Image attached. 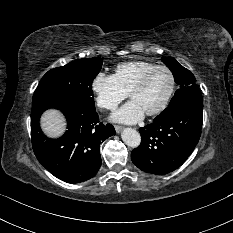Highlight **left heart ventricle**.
<instances>
[{
    "instance_id": "b2bd125f",
    "label": "left heart ventricle",
    "mask_w": 233,
    "mask_h": 233,
    "mask_svg": "<svg viewBox=\"0 0 233 233\" xmlns=\"http://www.w3.org/2000/svg\"><path fill=\"white\" fill-rule=\"evenodd\" d=\"M171 85L168 72L157 71L148 80L145 87L135 93L131 100L135 101L145 113L157 109L167 96Z\"/></svg>"
}]
</instances>
